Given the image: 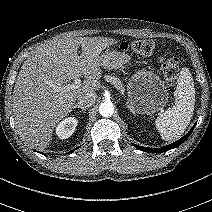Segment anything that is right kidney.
Wrapping results in <instances>:
<instances>
[{"mask_svg":"<svg viewBox=\"0 0 212 212\" xmlns=\"http://www.w3.org/2000/svg\"><path fill=\"white\" fill-rule=\"evenodd\" d=\"M77 123H78V121L74 117H68V118L62 120L56 128L57 136L60 139L69 138L74 133Z\"/></svg>","mask_w":212,"mask_h":212,"instance_id":"ca27d5eb","label":"right kidney"}]
</instances>
